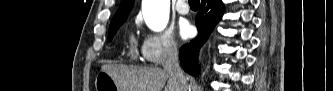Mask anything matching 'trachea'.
<instances>
[{"label": "trachea", "mask_w": 333, "mask_h": 91, "mask_svg": "<svg viewBox=\"0 0 333 91\" xmlns=\"http://www.w3.org/2000/svg\"><path fill=\"white\" fill-rule=\"evenodd\" d=\"M197 2L199 3V0H189V4L190 3H197Z\"/></svg>", "instance_id": "1"}]
</instances>
